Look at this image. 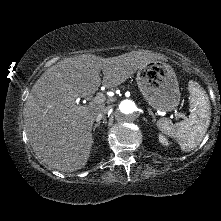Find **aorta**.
<instances>
[{"label":"aorta","instance_id":"aorta-1","mask_svg":"<svg viewBox=\"0 0 221 221\" xmlns=\"http://www.w3.org/2000/svg\"><path fill=\"white\" fill-rule=\"evenodd\" d=\"M138 114V108L134 101L125 99L122 100L115 108L116 120L120 123L133 122Z\"/></svg>","mask_w":221,"mask_h":221}]
</instances>
